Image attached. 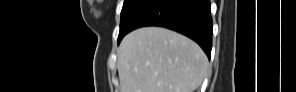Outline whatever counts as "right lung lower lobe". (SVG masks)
Segmentation results:
<instances>
[{"label":"right lung lower lobe","mask_w":296,"mask_h":92,"mask_svg":"<svg viewBox=\"0 0 296 92\" xmlns=\"http://www.w3.org/2000/svg\"><path fill=\"white\" fill-rule=\"evenodd\" d=\"M161 26L196 41L208 58L212 49L210 0H154L134 21L131 30Z\"/></svg>","instance_id":"1"}]
</instances>
